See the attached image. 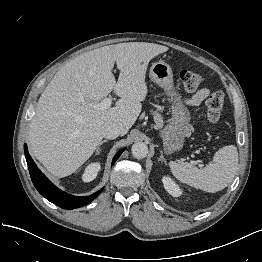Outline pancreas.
Wrapping results in <instances>:
<instances>
[{
  "label": "pancreas",
  "instance_id": "cf45deb5",
  "mask_svg": "<svg viewBox=\"0 0 262 262\" xmlns=\"http://www.w3.org/2000/svg\"><path fill=\"white\" fill-rule=\"evenodd\" d=\"M154 121L158 127H161L163 125V119L159 113H154Z\"/></svg>",
  "mask_w": 262,
  "mask_h": 262
}]
</instances>
